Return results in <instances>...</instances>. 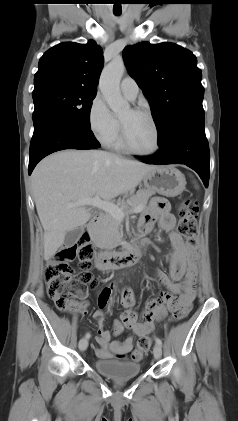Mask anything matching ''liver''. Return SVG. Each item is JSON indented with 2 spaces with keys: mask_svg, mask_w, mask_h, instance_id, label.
Wrapping results in <instances>:
<instances>
[{
  "mask_svg": "<svg viewBox=\"0 0 238 421\" xmlns=\"http://www.w3.org/2000/svg\"><path fill=\"white\" fill-rule=\"evenodd\" d=\"M155 166L102 150H64L44 158L32 173V190L44 229V259L64 243L67 232L85 225L91 213L70 202L96 196L109 201L133 191Z\"/></svg>",
  "mask_w": 238,
  "mask_h": 421,
  "instance_id": "obj_1",
  "label": "liver"
}]
</instances>
